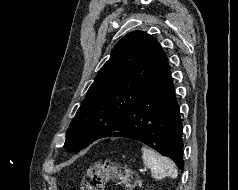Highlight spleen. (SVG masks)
I'll return each mask as SVG.
<instances>
[{
    "label": "spleen",
    "mask_w": 238,
    "mask_h": 190,
    "mask_svg": "<svg viewBox=\"0 0 238 190\" xmlns=\"http://www.w3.org/2000/svg\"><path fill=\"white\" fill-rule=\"evenodd\" d=\"M143 151V162L145 166L150 168L151 175L155 179H162L163 177L169 176L171 178H176L178 171L175 167L173 161L164 157L154 150L147 147L142 148Z\"/></svg>",
    "instance_id": "spleen-1"
}]
</instances>
